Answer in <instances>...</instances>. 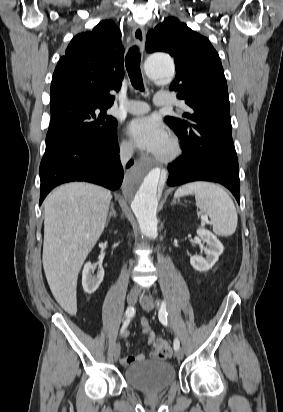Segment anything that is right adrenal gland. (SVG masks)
<instances>
[{
  "label": "right adrenal gland",
  "mask_w": 283,
  "mask_h": 412,
  "mask_svg": "<svg viewBox=\"0 0 283 412\" xmlns=\"http://www.w3.org/2000/svg\"><path fill=\"white\" fill-rule=\"evenodd\" d=\"M112 217H114V218L117 217V214H116V211H115V208H114V204H113V203H111V205H110V212H109V214H108V218H107V223H106V225H108V223L110 222V219H111Z\"/></svg>",
  "instance_id": "1"
}]
</instances>
